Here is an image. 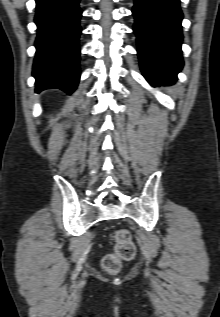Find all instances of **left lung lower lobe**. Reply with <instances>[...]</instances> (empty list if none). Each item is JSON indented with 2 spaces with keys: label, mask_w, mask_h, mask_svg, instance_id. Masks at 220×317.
<instances>
[{
  "label": "left lung lower lobe",
  "mask_w": 220,
  "mask_h": 317,
  "mask_svg": "<svg viewBox=\"0 0 220 317\" xmlns=\"http://www.w3.org/2000/svg\"><path fill=\"white\" fill-rule=\"evenodd\" d=\"M134 1L133 29L141 70L153 86L174 83L183 67L179 0Z\"/></svg>",
  "instance_id": "left-lung-lower-lobe-1"
}]
</instances>
